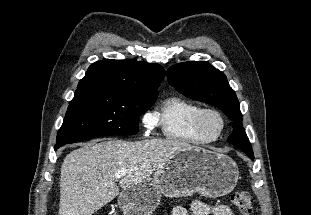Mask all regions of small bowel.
<instances>
[{
  "instance_id": "small-bowel-1",
  "label": "small bowel",
  "mask_w": 311,
  "mask_h": 215,
  "mask_svg": "<svg viewBox=\"0 0 311 215\" xmlns=\"http://www.w3.org/2000/svg\"><path fill=\"white\" fill-rule=\"evenodd\" d=\"M172 215H235L234 212L226 205L209 206L201 201H193L191 212L182 206L173 209Z\"/></svg>"
}]
</instances>
